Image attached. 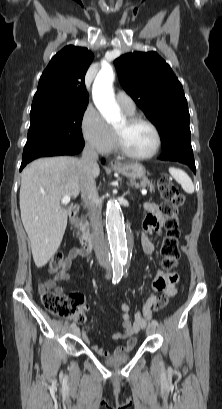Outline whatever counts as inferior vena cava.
<instances>
[{"label": "inferior vena cava", "mask_w": 222, "mask_h": 409, "mask_svg": "<svg viewBox=\"0 0 222 409\" xmlns=\"http://www.w3.org/2000/svg\"><path fill=\"white\" fill-rule=\"evenodd\" d=\"M97 160L98 154L95 148L90 144H86L79 161L82 173L81 198L88 210L97 261L102 267L109 268V251L104 239L101 208L98 205V193L93 176V169L97 166Z\"/></svg>", "instance_id": "inferior-vena-cava-1"}]
</instances>
